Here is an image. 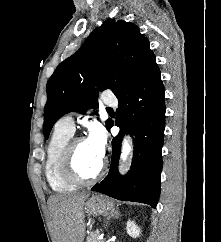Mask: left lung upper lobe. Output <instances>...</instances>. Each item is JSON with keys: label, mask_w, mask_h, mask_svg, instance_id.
<instances>
[{"label": "left lung upper lobe", "mask_w": 221, "mask_h": 242, "mask_svg": "<svg viewBox=\"0 0 221 242\" xmlns=\"http://www.w3.org/2000/svg\"><path fill=\"white\" fill-rule=\"evenodd\" d=\"M155 65L149 40L135 24L106 20L92 31L75 54L58 65L50 77L45 106V138L49 137L54 123L66 113L97 109L99 91L111 89L118 95ZM109 125L108 120L107 129Z\"/></svg>", "instance_id": "left-lung-upper-lobe-1"}]
</instances>
